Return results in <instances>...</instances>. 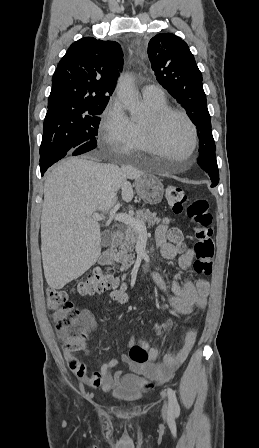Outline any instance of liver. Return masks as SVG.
Wrapping results in <instances>:
<instances>
[{
    "label": "liver",
    "instance_id": "6515ba94",
    "mask_svg": "<svg viewBox=\"0 0 259 448\" xmlns=\"http://www.w3.org/2000/svg\"><path fill=\"white\" fill-rule=\"evenodd\" d=\"M127 172L114 164L67 158L45 176L41 254L50 288L61 290L96 264L100 224L93 212H108L117 192L130 190Z\"/></svg>",
    "mask_w": 259,
    "mask_h": 448
}]
</instances>
